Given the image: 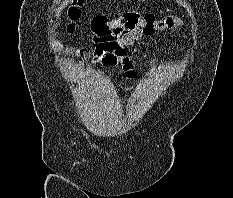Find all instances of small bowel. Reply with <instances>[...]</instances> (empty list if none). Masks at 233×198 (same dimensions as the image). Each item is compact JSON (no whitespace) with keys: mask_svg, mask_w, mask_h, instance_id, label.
<instances>
[{"mask_svg":"<svg viewBox=\"0 0 233 198\" xmlns=\"http://www.w3.org/2000/svg\"><path fill=\"white\" fill-rule=\"evenodd\" d=\"M143 36L139 31H116L112 36L94 43L93 59L104 67L120 68L126 80H133L136 71L132 60L125 53V47L133 45Z\"/></svg>","mask_w":233,"mask_h":198,"instance_id":"small-bowel-1","label":"small bowel"}]
</instances>
